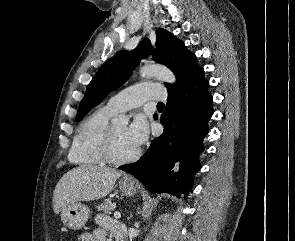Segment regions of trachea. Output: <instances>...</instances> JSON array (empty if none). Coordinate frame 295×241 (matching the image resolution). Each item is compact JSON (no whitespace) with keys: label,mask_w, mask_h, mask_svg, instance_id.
Wrapping results in <instances>:
<instances>
[{"label":"trachea","mask_w":295,"mask_h":241,"mask_svg":"<svg viewBox=\"0 0 295 241\" xmlns=\"http://www.w3.org/2000/svg\"><path fill=\"white\" fill-rule=\"evenodd\" d=\"M157 107L164 108V103H162V102H159V103L157 104Z\"/></svg>","instance_id":"1"}]
</instances>
